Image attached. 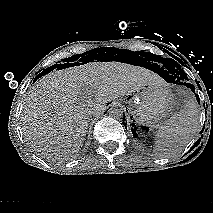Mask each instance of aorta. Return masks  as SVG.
Here are the masks:
<instances>
[{"instance_id": "obj_1", "label": "aorta", "mask_w": 213, "mask_h": 213, "mask_svg": "<svg viewBox=\"0 0 213 213\" xmlns=\"http://www.w3.org/2000/svg\"><path fill=\"white\" fill-rule=\"evenodd\" d=\"M125 112V107L121 103H113L109 109V115L113 118H122Z\"/></svg>"}]
</instances>
